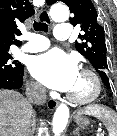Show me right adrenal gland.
<instances>
[{"instance_id":"obj_1","label":"right adrenal gland","mask_w":117,"mask_h":136,"mask_svg":"<svg viewBox=\"0 0 117 136\" xmlns=\"http://www.w3.org/2000/svg\"><path fill=\"white\" fill-rule=\"evenodd\" d=\"M30 132H31V130L28 129L26 136H29Z\"/></svg>"}]
</instances>
